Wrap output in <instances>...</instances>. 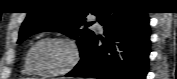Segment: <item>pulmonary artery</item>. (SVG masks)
<instances>
[{"instance_id":"obj_1","label":"pulmonary artery","mask_w":177,"mask_h":79,"mask_svg":"<svg viewBox=\"0 0 177 79\" xmlns=\"http://www.w3.org/2000/svg\"><path fill=\"white\" fill-rule=\"evenodd\" d=\"M91 19L95 21L94 28H96V29L102 28V26L100 25V23L98 21H96V18L94 16H92Z\"/></svg>"}]
</instances>
